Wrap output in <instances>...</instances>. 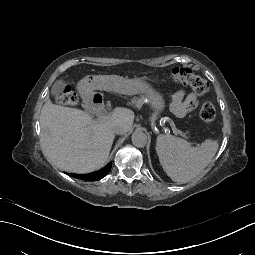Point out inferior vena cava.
<instances>
[{"label": "inferior vena cava", "mask_w": 255, "mask_h": 255, "mask_svg": "<svg viewBox=\"0 0 255 255\" xmlns=\"http://www.w3.org/2000/svg\"><path fill=\"white\" fill-rule=\"evenodd\" d=\"M111 130L118 135H124L127 132L126 127L123 124H116L112 126Z\"/></svg>", "instance_id": "obj_1"}]
</instances>
